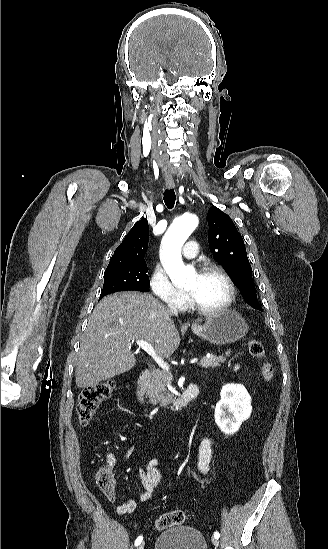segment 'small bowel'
<instances>
[{"mask_svg":"<svg viewBox=\"0 0 328 549\" xmlns=\"http://www.w3.org/2000/svg\"><path fill=\"white\" fill-rule=\"evenodd\" d=\"M237 368V367H236ZM134 446L126 450L124 457L128 458L133 452ZM213 453V442L209 437H205L201 440L198 448V469L202 474L208 473L210 469V463ZM107 469L112 472L115 468L117 460L114 454L107 453L104 457ZM160 461L158 458L150 459L146 465L139 470L138 477L140 480L142 492L139 497L140 502L149 501L155 490L162 483V476L158 469ZM114 498V494L111 499ZM137 508V502L133 499H123L121 506L119 507V512L121 514L133 512Z\"/></svg>","mask_w":328,"mask_h":549,"instance_id":"small-bowel-1","label":"small bowel"}]
</instances>
